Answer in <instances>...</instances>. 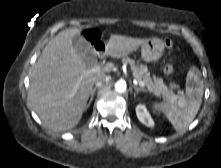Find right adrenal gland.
Returning a JSON list of instances; mask_svg holds the SVG:
<instances>
[{"mask_svg":"<svg viewBox=\"0 0 221 168\" xmlns=\"http://www.w3.org/2000/svg\"><path fill=\"white\" fill-rule=\"evenodd\" d=\"M98 89V87H94L90 93V99L88 104L86 105V109L90 106L91 102L93 101V97H94V93L96 92V90Z\"/></svg>","mask_w":221,"mask_h":168,"instance_id":"1","label":"right adrenal gland"}]
</instances>
